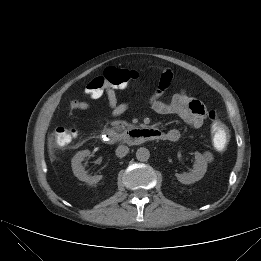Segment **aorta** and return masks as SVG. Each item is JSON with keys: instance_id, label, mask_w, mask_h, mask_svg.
Here are the masks:
<instances>
[{"instance_id": "1", "label": "aorta", "mask_w": 261, "mask_h": 261, "mask_svg": "<svg viewBox=\"0 0 261 261\" xmlns=\"http://www.w3.org/2000/svg\"><path fill=\"white\" fill-rule=\"evenodd\" d=\"M149 157H150V152L147 148L140 147L139 149H137L136 158L138 161L140 162L148 161Z\"/></svg>"}]
</instances>
